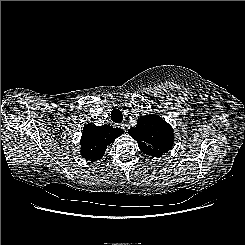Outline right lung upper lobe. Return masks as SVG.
I'll return each instance as SVG.
<instances>
[{
    "mask_svg": "<svg viewBox=\"0 0 245 245\" xmlns=\"http://www.w3.org/2000/svg\"><path fill=\"white\" fill-rule=\"evenodd\" d=\"M122 133L121 129L113 128L110 125L95 126L90 123L87 124L83 128L80 140L81 155L92 162L100 160L107 147Z\"/></svg>",
    "mask_w": 245,
    "mask_h": 245,
    "instance_id": "cb5924a9",
    "label": "right lung upper lobe"
}]
</instances>
